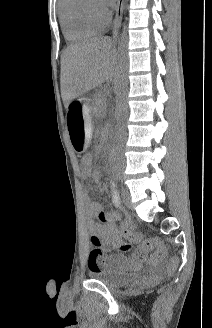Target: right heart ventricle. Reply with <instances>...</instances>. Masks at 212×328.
I'll list each match as a JSON object with an SVG mask.
<instances>
[{
	"label": "right heart ventricle",
	"instance_id": "obj_1",
	"mask_svg": "<svg viewBox=\"0 0 212 328\" xmlns=\"http://www.w3.org/2000/svg\"><path fill=\"white\" fill-rule=\"evenodd\" d=\"M60 22L70 41L85 40L99 34L106 20L95 10L91 0H60Z\"/></svg>",
	"mask_w": 212,
	"mask_h": 328
}]
</instances>
